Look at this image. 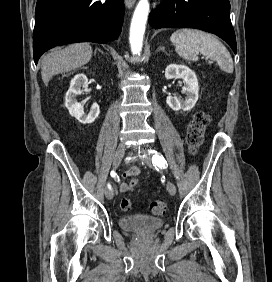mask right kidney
Masks as SVG:
<instances>
[{
	"label": "right kidney",
	"instance_id": "right-kidney-1",
	"mask_svg": "<svg viewBox=\"0 0 272 282\" xmlns=\"http://www.w3.org/2000/svg\"><path fill=\"white\" fill-rule=\"evenodd\" d=\"M88 86V79L84 74H77L71 80L70 87L65 95V106L72 117L82 124H91L99 116L100 109L97 103H93L90 112L86 115L81 103L76 99L82 93V89Z\"/></svg>",
	"mask_w": 272,
	"mask_h": 282
}]
</instances>
